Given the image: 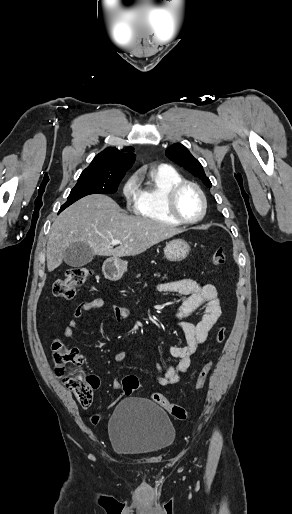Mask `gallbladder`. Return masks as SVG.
Here are the masks:
<instances>
[{
	"mask_svg": "<svg viewBox=\"0 0 292 514\" xmlns=\"http://www.w3.org/2000/svg\"><path fill=\"white\" fill-rule=\"evenodd\" d=\"M93 252L85 242H74L65 250L64 262L72 268H81L93 260Z\"/></svg>",
	"mask_w": 292,
	"mask_h": 514,
	"instance_id": "bac80fb5",
	"label": "gallbladder"
}]
</instances>
